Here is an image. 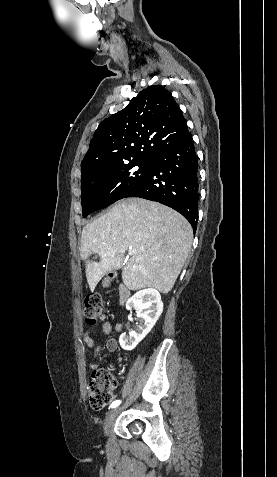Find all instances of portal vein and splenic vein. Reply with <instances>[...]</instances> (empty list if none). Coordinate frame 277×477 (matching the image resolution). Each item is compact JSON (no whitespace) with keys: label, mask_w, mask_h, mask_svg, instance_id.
<instances>
[{"label":"portal vein and splenic vein","mask_w":277,"mask_h":477,"mask_svg":"<svg viewBox=\"0 0 277 477\" xmlns=\"http://www.w3.org/2000/svg\"><path fill=\"white\" fill-rule=\"evenodd\" d=\"M131 254H132V253H131V248H130V250H129V255H131Z\"/></svg>","instance_id":"obj_1"}]
</instances>
